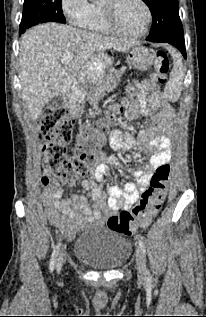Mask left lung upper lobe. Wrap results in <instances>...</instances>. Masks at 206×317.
I'll return each instance as SVG.
<instances>
[{"instance_id":"5c2ea615","label":"left lung upper lobe","mask_w":206,"mask_h":317,"mask_svg":"<svg viewBox=\"0 0 206 317\" xmlns=\"http://www.w3.org/2000/svg\"><path fill=\"white\" fill-rule=\"evenodd\" d=\"M151 10L153 24L146 40H184L178 0H143Z\"/></svg>"}]
</instances>
